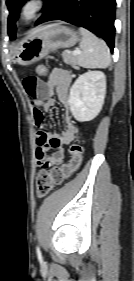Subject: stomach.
<instances>
[{"label":"stomach","mask_w":134,"mask_h":281,"mask_svg":"<svg viewBox=\"0 0 134 281\" xmlns=\"http://www.w3.org/2000/svg\"><path fill=\"white\" fill-rule=\"evenodd\" d=\"M77 41L78 35L73 29L58 24L51 25L20 44L14 54L15 62L22 66L30 65L51 51L74 46Z\"/></svg>","instance_id":"0dacf381"}]
</instances>
